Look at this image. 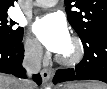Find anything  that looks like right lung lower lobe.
<instances>
[{"label":"right lung lower lobe","instance_id":"1","mask_svg":"<svg viewBox=\"0 0 107 89\" xmlns=\"http://www.w3.org/2000/svg\"><path fill=\"white\" fill-rule=\"evenodd\" d=\"M23 54L22 38L15 44H7L0 41V72L25 78V69L22 67ZM33 78L37 84L40 85L42 83L39 74L34 75Z\"/></svg>","mask_w":107,"mask_h":89}]
</instances>
